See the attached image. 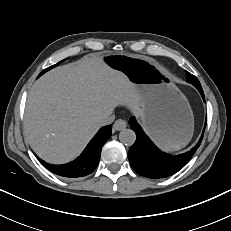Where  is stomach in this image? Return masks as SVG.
Instances as JSON below:
<instances>
[{
	"label": "stomach",
	"instance_id": "0dacf381",
	"mask_svg": "<svg viewBox=\"0 0 231 231\" xmlns=\"http://www.w3.org/2000/svg\"><path fill=\"white\" fill-rule=\"evenodd\" d=\"M102 60L136 87L144 103L143 127L160 147L172 151L188 144L194 130L192 110L160 65L151 58L124 53L105 55Z\"/></svg>",
	"mask_w": 231,
	"mask_h": 231
}]
</instances>
